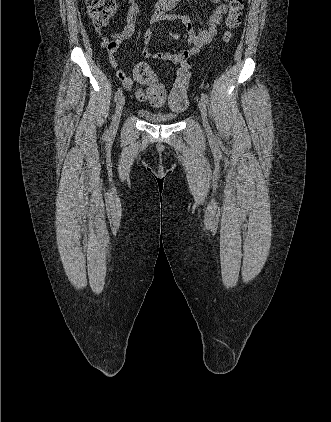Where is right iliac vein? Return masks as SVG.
Here are the masks:
<instances>
[{"label":"right iliac vein","instance_id":"right-iliac-vein-1","mask_svg":"<svg viewBox=\"0 0 331 422\" xmlns=\"http://www.w3.org/2000/svg\"><path fill=\"white\" fill-rule=\"evenodd\" d=\"M124 105H125V97L121 95L119 99L117 100V103L115 106V113H114L112 123H111L112 130H116L118 128Z\"/></svg>","mask_w":331,"mask_h":422}]
</instances>
